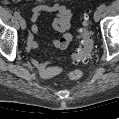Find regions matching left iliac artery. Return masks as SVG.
<instances>
[{"label": "left iliac artery", "mask_w": 119, "mask_h": 119, "mask_svg": "<svg viewBox=\"0 0 119 119\" xmlns=\"http://www.w3.org/2000/svg\"><path fill=\"white\" fill-rule=\"evenodd\" d=\"M102 11H104L105 9H106V5L105 4H102V5H100V7H99Z\"/></svg>", "instance_id": "44dca946"}]
</instances>
